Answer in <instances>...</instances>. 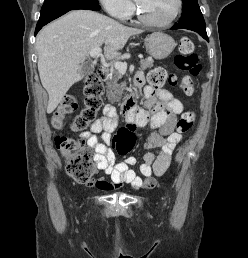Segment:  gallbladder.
<instances>
[{
	"label": "gallbladder",
	"instance_id": "1",
	"mask_svg": "<svg viewBox=\"0 0 248 258\" xmlns=\"http://www.w3.org/2000/svg\"><path fill=\"white\" fill-rule=\"evenodd\" d=\"M94 67L91 63L84 64L82 67V71L84 75H89L93 72Z\"/></svg>",
	"mask_w": 248,
	"mask_h": 258
}]
</instances>
